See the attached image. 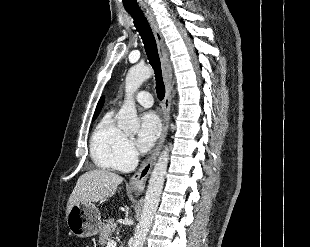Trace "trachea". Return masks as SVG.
Here are the masks:
<instances>
[{
    "instance_id": "1",
    "label": "trachea",
    "mask_w": 310,
    "mask_h": 247,
    "mask_svg": "<svg viewBox=\"0 0 310 247\" xmlns=\"http://www.w3.org/2000/svg\"><path fill=\"white\" fill-rule=\"evenodd\" d=\"M127 12L134 20V25L143 40L149 63L154 69L157 97L159 100H163L165 96V85L162 79L160 58L158 55L157 44L154 35L140 10H127Z\"/></svg>"
}]
</instances>
